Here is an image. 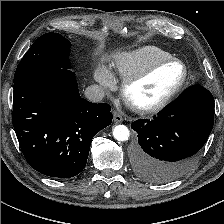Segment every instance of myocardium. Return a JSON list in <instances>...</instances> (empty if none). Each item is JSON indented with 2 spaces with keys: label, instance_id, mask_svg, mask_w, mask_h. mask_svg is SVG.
<instances>
[{
  "label": "myocardium",
  "instance_id": "1",
  "mask_svg": "<svg viewBox=\"0 0 224 224\" xmlns=\"http://www.w3.org/2000/svg\"><path fill=\"white\" fill-rule=\"evenodd\" d=\"M168 64H178L182 67L183 73L179 82L170 90V92L165 97H163L160 101L156 102L155 104L150 106H140L136 104L130 96V89L132 88V86L146 79L151 74H153L156 70ZM187 80H188L187 66L181 60L170 57L167 59L158 60L150 64L146 68H144L142 71L125 78L122 84V89H121L122 96L125 102L127 103V105L130 108H132L134 111L141 114H152L168 106L172 102V100L179 94V92L183 89V87L187 83Z\"/></svg>",
  "mask_w": 224,
  "mask_h": 224
}]
</instances>
